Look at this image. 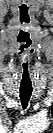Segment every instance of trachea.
Here are the masks:
<instances>
[{
	"label": "trachea",
	"mask_w": 53,
	"mask_h": 133,
	"mask_svg": "<svg viewBox=\"0 0 53 133\" xmlns=\"http://www.w3.org/2000/svg\"><path fill=\"white\" fill-rule=\"evenodd\" d=\"M31 94L32 88H20V99L23 109L27 107Z\"/></svg>",
	"instance_id": "3493384b"
}]
</instances>
